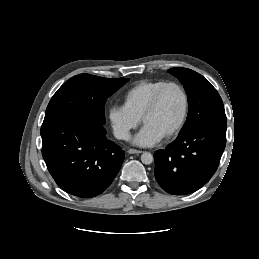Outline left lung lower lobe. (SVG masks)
Here are the masks:
<instances>
[{
    "label": "left lung lower lobe",
    "instance_id": "0a47b994",
    "mask_svg": "<svg viewBox=\"0 0 259 259\" xmlns=\"http://www.w3.org/2000/svg\"><path fill=\"white\" fill-rule=\"evenodd\" d=\"M227 122L207 121L154 153L155 177L173 195L200 189L216 172L226 145Z\"/></svg>",
    "mask_w": 259,
    "mask_h": 259
}]
</instances>
